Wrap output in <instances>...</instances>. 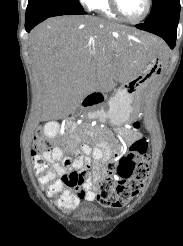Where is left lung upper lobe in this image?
I'll return each mask as SVG.
<instances>
[{"mask_svg":"<svg viewBox=\"0 0 183 246\" xmlns=\"http://www.w3.org/2000/svg\"><path fill=\"white\" fill-rule=\"evenodd\" d=\"M152 10L145 22L155 21L180 6L179 0H152Z\"/></svg>","mask_w":183,"mask_h":246,"instance_id":"obj_1","label":"left lung upper lobe"}]
</instances>
